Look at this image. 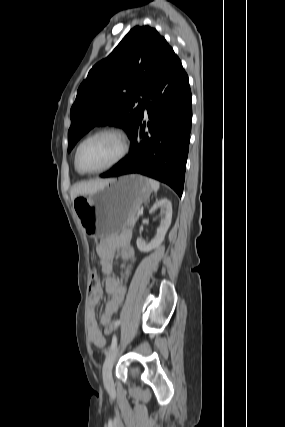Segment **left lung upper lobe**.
<instances>
[{"instance_id": "5c2ea615", "label": "left lung upper lobe", "mask_w": 285, "mask_h": 427, "mask_svg": "<svg viewBox=\"0 0 285 427\" xmlns=\"http://www.w3.org/2000/svg\"><path fill=\"white\" fill-rule=\"evenodd\" d=\"M172 50L154 28L131 29L81 83L70 111L68 152L97 125L121 127L130 138L143 113L146 95Z\"/></svg>"}]
</instances>
